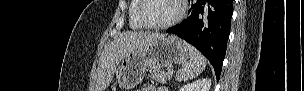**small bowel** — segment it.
<instances>
[{
  "label": "small bowel",
  "mask_w": 304,
  "mask_h": 91,
  "mask_svg": "<svg viewBox=\"0 0 304 91\" xmlns=\"http://www.w3.org/2000/svg\"><path fill=\"white\" fill-rule=\"evenodd\" d=\"M165 89L162 88V87H156L154 85H144L142 88H141V91H164Z\"/></svg>",
  "instance_id": "1"
}]
</instances>
